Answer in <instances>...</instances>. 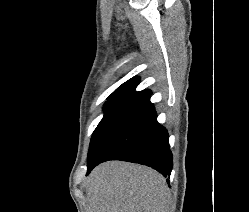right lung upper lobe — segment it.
<instances>
[{
	"mask_svg": "<svg viewBox=\"0 0 249 212\" xmlns=\"http://www.w3.org/2000/svg\"><path fill=\"white\" fill-rule=\"evenodd\" d=\"M139 84V77H133L128 81L120 85L111 95H124V96H134V97H143L148 94H151L150 90L135 91V88ZM110 95V96H111Z\"/></svg>",
	"mask_w": 249,
	"mask_h": 212,
	"instance_id": "1",
	"label": "right lung upper lobe"
}]
</instances>
